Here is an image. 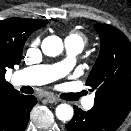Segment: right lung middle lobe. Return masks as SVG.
I'll list each match as a JSON object with an SVG mask.
<instances>
[{"instance_id": "right-lung-middle-lobe-1", "label": "right lung middle lobe", "mask_w": 131, "mask_h": 131, "mask_svg": "<svg viewBox=\"0 0 131 131\" xmlns=\"http://www.w3.org/2000/svg\"><path fill=\"white\" fill-rule=\"evenodd\" d=\"M34 30H35V29H31V30L29 31V33L27 34V36H29Z\"/></svg>"}]
</instances>
